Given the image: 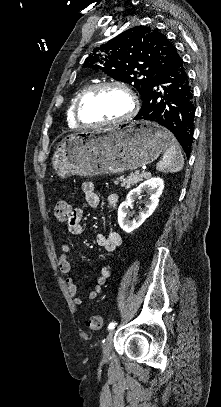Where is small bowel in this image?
I'll return each instance as SVG.
<instances>
[{"label": "small bowel", "mask_w": 221, "mask_h": 407, "mask_svg": "<svg viewBox=\"0 0 221 407\" xmlns=\"http://www.w3.org/2000/svg\"><path fill=\"white\" fill-rule=\"evenodd\" d=\"M82 192L86 203L90 207H99L101 203L100 196L97 192L96 186L92 182H85L82 184ZM109 206L116 209L119 203V196L116 193H109L106 196ZM83 212L82 209H74L72 216L67 221L66 227L70 234L78 236L83 232L81 224ZM97 244L101 246L105 251H113L122 243L120 234L116 231L107 233H100L97 236ZM70 247L67 243L62 245L61 254L58 257L57 267L61 274L64 276V281L67 286L68 292L76 305L83 304V297L79 294L77 284L73 277L70 275L71 264L69 262ZM111 277V269L109 266L101 267L96 279V284L88 293V298L94 300L102 291V287L107 283Z\"/></svg>", "instance_id": "1"}]
</instances>
